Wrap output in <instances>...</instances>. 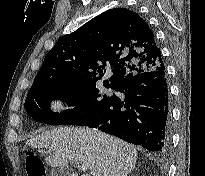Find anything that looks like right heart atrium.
<instances>
[{"label":"right heart atrium","mask_w":205,"mask_h":176,"mask_svg":"<svg viewBox=\"0 0 205 176\" xmlns=\"http://www.w3.org/2000/svg\"><path fill=\"white\" fill-rule=\"evenodd\" d=\"M51 108L56 110V111H61L64 109V101L61 99H53L50 103Z\"/></svg>","instance_id":"d8ad5b80"}]
</instances>
